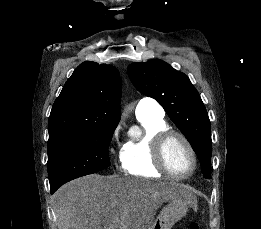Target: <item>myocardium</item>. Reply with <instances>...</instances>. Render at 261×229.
<instances>
[{"instance_id": "f54148a6", "label": "myocardium", "mask_w": 261, "mask_h": 229, "mask_svg": "<svg viewBox=\"0 0 261 229\" xmlns=\"http://www.w3.org/2000/svg\"><path fill=\"white\" fill-rule=\"evenodd\" d=\"M175 139L181 140L186 145L192 158V166L184 174H179L173 171L167 161V147ZM153 158L156 165L162 172L175 179L188 178L194 173L197 167V155L192 143L182 133L171 129L164 130L156 136L153 144Z\"/></svg>"}]
</instances>
